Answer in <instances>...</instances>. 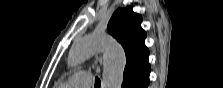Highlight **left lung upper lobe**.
Wrapping results in <instances>:
<instances>
[{
    "instance_id": "obj_1",
    "label": "left lung upper lobe",
    "mask_w": 223,
    "mask_h": 88,
    "mask_svg": "<svg viewBox=\"0 0 223 88\" xmlns=\"http://www.w3.org/2000/svg\"><path fill=\"white\" fill-rule=\"evenodd\" d=\"M142 18L131 7L114 12L107 31L123 46L127 58L124 72L143 67L148 63L149 51L144 44L145 31L141 28Z\"/></svg>"
}]
</instances>
